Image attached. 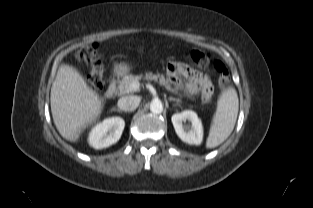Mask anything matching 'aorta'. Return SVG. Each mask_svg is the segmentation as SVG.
Returning a JSON list of instances; mask_svg holds the SVG:
<instances>
[{"label":"aorta","mask_w":313,"mask_h":208,"mask_svg":"<svg viewBox=\"0 0 313 208\" xmlns=\"http://www.w3.org/2000/svg\"><path fill=\"white\" fill-rule=\"evenodd\" d=\"M150 111L153 114H160L163 111V104L160 100L155 99L150 104Z\"/></svg>","instance_id":"762f6f07"}]
</instances>
